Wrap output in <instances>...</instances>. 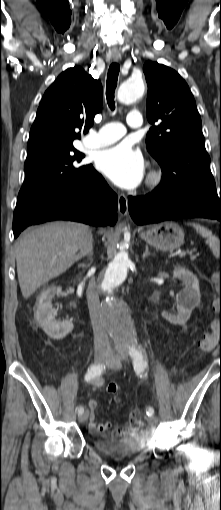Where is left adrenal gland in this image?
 <instances>
[{
  "mask_svg": "<svg viewBox=\"0 0 221 510\" xmlns=\"http://www.w3.org/2000/svg\"><path fill=\"white\" fill-rule=\"evenodd\" d=\"M150 255H154V254H151L149 252V247H148V245H146L145 252L143 253L142 258L145 259L147 256H150Z\"/></svg>",
  "mask_w": 221,
  "mask_h": 510,
  "instance_id": "a2214340",
  "label": "left adrenal gland"
}]
</instances>
